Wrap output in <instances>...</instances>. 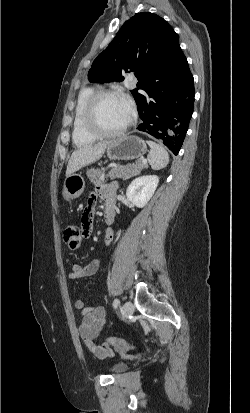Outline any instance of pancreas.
Returning a JSON list of instances; mask_svg holds the SVG:
<instances>
[{
  "mask_svg": "<svg viewBox=\"0 0 250 413\" xmlns=\"http://www.w3.org/2000/svg\"><path fill=\"white\" fill-rule=\"evenodd\" d=\"M145 167L146 165L142 162V160H138L136 163L128 164L126 166L117 165L113 167L106 176L102 173L104 170L103 168L89 169L86 174L94 185H100L108 176H116L117 178L127 179L137 175Z\"/></svg>",
  "mask_w": 250,
  "mask_h": 413,
  "instance_id": "pancreas-1",
  "label": "pancreas"
}]
</instances>
